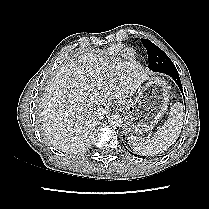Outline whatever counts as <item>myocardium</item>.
<instances>
[{
  "label": "myocardium",
  "instance_id": "f54148a6",
  "mask_svg": "<svg viewBox=\"0 0 209 209\" xmlns=\"http://www.w3.org/2000/svg\"><path fill=\"white\" fill-rule=\"evenodd\" d=\"M124 53H125V55L128 56V57H131V55L134 54L133 51L130 50V49H127Z\"/></svg>",
  "mask_w": 209,
  "mask_h": 209
}]
</instances>
